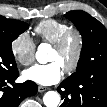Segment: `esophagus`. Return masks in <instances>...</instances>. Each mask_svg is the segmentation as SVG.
I'll use <instances>...</instances> for the list:
<instances>
[{"label": "esophagus", "mask_w": 107, "mask_h": 107, "mask_svg": "<svg viewBox=\"0 0 107 107\" xmlns=\"http://www.w3.org/2000/svg\"><path fill=\"white\" fill-rule=\"evenodd\" d=\"M47 90H48L47 87H44V86H38V92H39V93L45 92V91H47Z\"/></svg>", "instance_id": "esophagus-1"}]
</instances>
